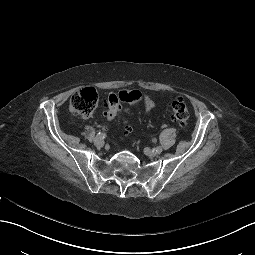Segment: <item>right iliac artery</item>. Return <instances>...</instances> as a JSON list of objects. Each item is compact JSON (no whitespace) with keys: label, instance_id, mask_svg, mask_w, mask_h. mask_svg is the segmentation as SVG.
<instances>
[{"label":"right iliac artery","instance_id":"obj_1","mask_svg":"<svg viewBox=\"0 0 255 255\" xmlns=\"http://www.w3.org/2000/svg\"><path fill=\"white\" fill-rule=\"evenodd\" d=\"M97 137H98L99 139H103V138H105V134L99 132V133L97 134Z\"/></svg>","mask_w":255,"mask_h":255}]
</instances>
